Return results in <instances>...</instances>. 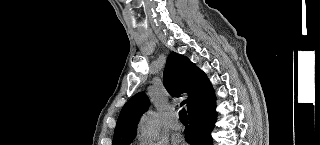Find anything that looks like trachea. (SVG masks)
Segmentation results:
<instances>
[{
  "instance_id": "obj_1",
  "label": "trachea",
  "mask_w": 320,
  "mask_h": 145,
  "mask_svg": "<svg viewBox=\"0 0 320 145\" xmlns=\"http://www.w3.org/2000/svg\"><path fill=\"white\" fill-rule=\"evenodd\" d=\"M179 118H180V121H182V122H184V121L187 122L188 121V117H187V114H186V111H185L184 108L182 110H180Z\"/></svg>"
}]
</instances>
